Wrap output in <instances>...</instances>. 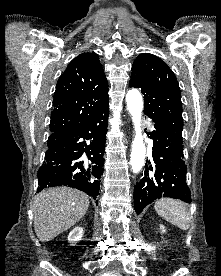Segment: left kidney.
I'll return each mask as SVG.
<instances>
[{"label":"left kidney","mask_w":221,"mask_h":276,"mask_svg":"<svg viewBox=\"0 0 221 276\" xmlns=\"http://www.w3.org/2000/svg\"><path fill=\"white\" fill-rule=\"evenodd\" d=\"M160 229H161V231H162L163 233L166 232L165 227H164L163 225H160Z\"/></svg>","instance_id":"obj_1"}]
</instances>
